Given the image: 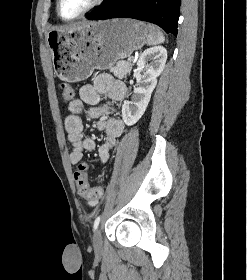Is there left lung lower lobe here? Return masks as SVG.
<instances>
[{
    "label": "left lung lower lobe",
    "mask_w": 247,
    "mask_h": 280,
    "mask_svg": "<svg viewBox=\"0 0 247 280\" xmlns=\"http://www.w3.org/2000/svg\"><path fill=\"white\" fill-rule=\"evenodd\" d=\"M181 0H109L88 14L89 20L134 18L154 23L177 36Z\"/></svg>",
    "instance_id": "0a47b994"
}]
</instances>
